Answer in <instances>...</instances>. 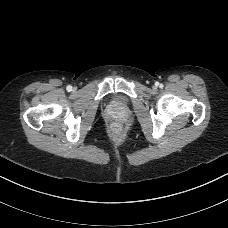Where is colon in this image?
Segmentation results:
<instances>
[{
	"label": "colon",
	"instance_id": "obj_1",
	"mask_svg": "<svg viewBox=\"0 0 228 228\" xmlns=\"http://www.w3.org/2000/svg\"><path fill=\"white\" fill-rule=\"evenodd\" d=\"M113 133H114V135L116 136V137H118V136H120V128H119V126H114V128H113Z\"/></svg>",
	"mask_w": 228,
	"mask_h": 228
}]
</instances>
